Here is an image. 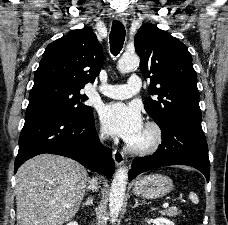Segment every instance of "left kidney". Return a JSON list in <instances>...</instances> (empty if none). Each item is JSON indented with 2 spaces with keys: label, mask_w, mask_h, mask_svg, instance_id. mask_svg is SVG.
I'll list each match as a JSON object with an SVG mask.
<instances>
[{
  "label": "left kidney",
  "mask_w": 228,
  "mask_h": 225,
  "mask_svg": "<svg viewBox=\"0 0 228 225\" xmlns=\"http://www.w3.org/2000/svg\"><path fill=\"white\" fill-rule=\"evenodd\" d=\"M147 223H154V225H174L172 221H169V219H163V217H159V219H150Z\"/></svg>",
  "instance_id": "1"
}]
</instances>
